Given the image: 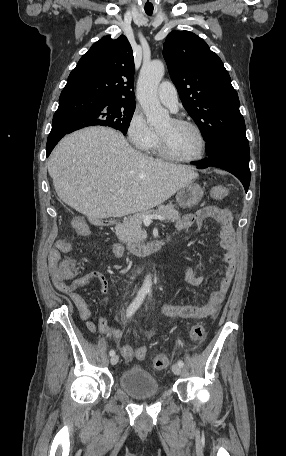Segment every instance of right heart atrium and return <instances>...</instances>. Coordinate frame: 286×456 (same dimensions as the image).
Instances as JSON below:
<instances>
[{"label":"right heart atrium","instance_id":"1","mask_svg":"<svg viewBox=\"0 0 286 456\" xmlns=\"http://www.w3.org/2000/svg\"><path fill=\"white\" fill-rule=\"evenodd\" d=\"M126 135L129 142L136 148L147 149L156 137L154 130L148 125L140 109H135L127 123Z\"/></svg>","mask_w":286,"mask_h":456}]
</instances>
